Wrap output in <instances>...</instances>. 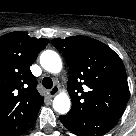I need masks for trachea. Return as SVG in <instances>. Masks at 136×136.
Listing matches in <instances>:
<instances>
[{"instance_id": "3493384b", "label": "trachea", "mask_w": 136, "mask_h": 136, "mask_svg": "<svg viewBox=\"0 0 136 136\" xmlns=\"http://www.w3.org/2000/svg\"><path fill=\"white\" fill-rule=\"evenodd\" d=\"M42 85L46 88V89H51L53 86V82L52 79L50 77H44L42 80Z\"/></svg>"}]
</instances>
